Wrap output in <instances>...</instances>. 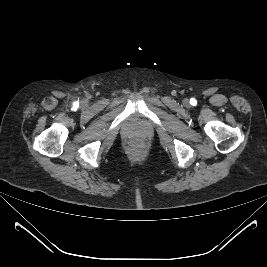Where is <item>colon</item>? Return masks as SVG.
<instances>
[{
	"label": "colon",
	"mask_w": 267,
	"mask_h": 267,
	"mask_svg": "<svg viewBox=\"0 0 267 267\" xmlns=\"http://www.w3.org/2000/svg\"><path fill=\"white\" fill-rule=\"evenodd\" d=\"M128 149L132 151H142L144 149V146L140 142L135 141L128 144Z\"/></svg>",
	"instance_id": "5ec220e1"
}]
</instances>
